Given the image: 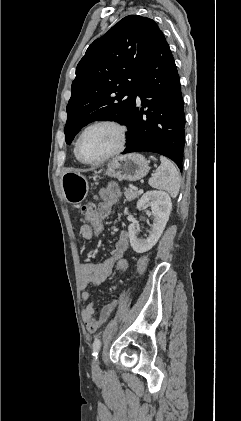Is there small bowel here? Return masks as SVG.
Segmentation results:
<instances>
[{
    "instance_id": "small-bowel-1",
    "label": "small bowel",
    "mask_w": 241,
    "mask_h": 421,
    "mask_svg": "<svg viewBox=\"0 0 241 421\" xmlns=\"http://www.w3.org/2000/svg\"><path fill=\"white\" fill-rule=\"evenodd\" d=\"M121 196V191L116 185H109L102 189L98 195L97 214L102 219L108 217ZM80 234L83 239L90 240L92 238V230L88 224H83L80 227ZM129 247V235L122 231L115 242L114 248L110 255L102 262H86L81 265L80 269V289L82 298L86 301V305L82 312L83 322L89 332L96 331L109 318L114 309L115 302L105 306L99 315L95 317V306L89 300V293L87 287L89 284L100 285L111 274L115 263L123 257Z\"/></svg>"
}]
</instances>
